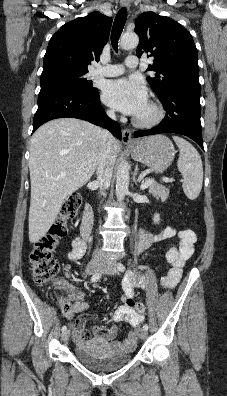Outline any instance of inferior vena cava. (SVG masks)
Instances as JSON below:
<instances>
[{
  "instance_id": "602c4592",
  "label": "inferior vena cava",
  "mask_w": 227,
  "mask_h": 396,
  "mask_svg": "<svg viewBox=\"0 0 227 396\" xmlns=\"http://www.w3.org/2000/svg\"><path fill=\"white\" fill-rule=\"evenodd\" d=\"M107 115L111 119H115V113L113 110L107 111ZM113 136L108 131H102L101 136V152L98 159L97 166V180L96 183L100 190H105L110 186L113 168L116 161V157L113 154L111 141ZM99 254V252H97Z\"/></svg>"
}]
</instances>
